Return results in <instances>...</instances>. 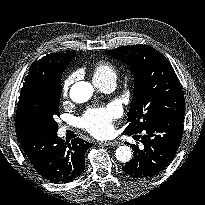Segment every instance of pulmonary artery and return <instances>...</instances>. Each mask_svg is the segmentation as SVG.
<instances>
[{
    "label": "pulmonary artery",
    "mask_w": 205,
    "mask_h": 205,
    "mask_svg": "<svg viewBox=\"0 0 205 205\" xmlns=\"http://www.w3.org/2000/svg\"><path fill=\"white\" fill-rule=\"evenodd\" d=\"M96 85L102 91L108 92V91H111V90L114 89V87H115V80L114 79L105 80L103 82L96 83Z\"/></svg>",
    "instance_id": "pulmonary-artery-1"
}]
</instances>
